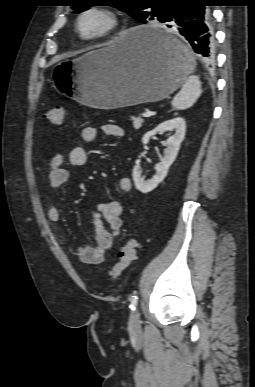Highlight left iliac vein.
I'll return each instance as SVG.
<instances>
[{"label":"left iliac vein","instance_id":"1","mask_svg":"<svg viewBox=\"0 0 255 387\" xmlns=\"http://www.w3.org/2000/svg\"><path fill=\"white\" fill-rule=\"evenodd\" d=\"M129 326L132 331H136L140 328V316L138 310L131 314Z\"/></svg>","mask_w":255,"mask_h":387}]
</instances>
